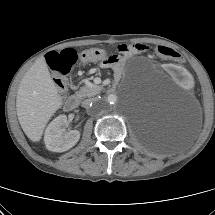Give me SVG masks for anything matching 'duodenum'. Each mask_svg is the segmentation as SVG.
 <instances>
[{"instance_id":"obj_1","label":"duodenum","mask_w":215,"mask_h":215,"mask_svg":"<svg viewBox=\"0 0 215 215\" xmlns=\"http://www.w3.org/2000/svg\"><path fill=\"white\" fill-rule=\"evenodd\" d=\"M79 102H80L79 96L72 95L65 101L64 108L66 111H73L78 107Z\"/></svg>"}]
</instances>
